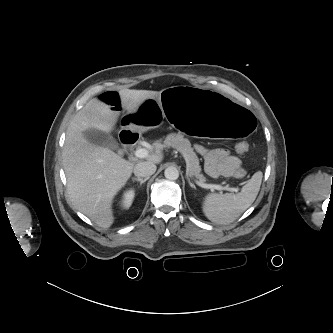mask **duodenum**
<instances>
[{
	"mask_svg": "<svg viewBox=\"0 0 333 333\" xmlns=\"http://www.w3.org/2000/svg\"><path fill=\"white\" fill-rule=\"evenodd\" d=\"M120 138L127 148H133L138 142V136L130 131H123Z\"/></svg>",
	"mask_w": 333,
	"mask_h": 333,
	"instance_id": "duodenum-1",
	"label": "duodenum"
}]
</instances>
